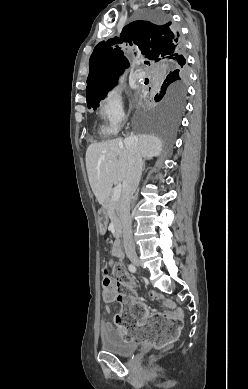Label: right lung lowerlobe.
Returning a JSON list of instances; mask_svg holds the SVG:
<instances>
[{"label": "right lung lower lobe", "mask_w": 248, "mask_h": 389, "mask_svg": "<svg viewBox=\"0 0 248 389\" xmlns=\"http://www.w3.org/2000/svg\"><path fill=\"white\" fill-rule=\"evenodd\" d=\"M175 34H176V40L178 41V47H177V50H181V39H180V35L178 32L175 31Z\"/></svg>", "instance_id": "obj_1"}]
</instances>
